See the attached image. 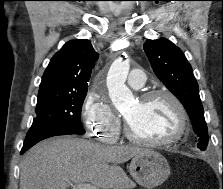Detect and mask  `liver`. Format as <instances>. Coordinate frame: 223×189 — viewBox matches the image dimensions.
<instances>
[{"mask_svg":"<svg viewBox=\"0 0 223 189\" xmlns=\"http://www.w3.org/2000/svg\"><path fill=\"white\" fill-rule=\"evenodd\" d=\"M144 151L73 137L44 140L32 147L20 164V189H67L72 183L123 189L129 179L119 164Z\"/></svg>","mask_w":223,"mask_h":189,"instance_id":"6515ba94","label":"liver"}]
</instances>
